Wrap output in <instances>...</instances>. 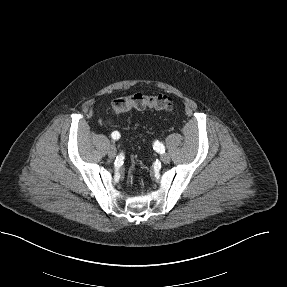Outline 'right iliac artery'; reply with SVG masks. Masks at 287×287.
<instances>
[{
  "instance_id": "82829eb1",
  "label": "right iliac artery",
  "mask_w": 287,
  "mask_h": 287,
  "mask_svg": "<svg viewBox=\"0 0 287 287\" xmlns=\"http://www.w3.org/2000/svg\"><path fill=\"white\" fill-rule=\"evenodd\" d=\"M111 136H112V138H113L114 140H117V139L120 138V134H119L118 131H114V132L111 134Z\"/></svg>"
}]
</instances>
